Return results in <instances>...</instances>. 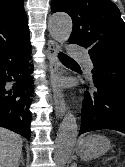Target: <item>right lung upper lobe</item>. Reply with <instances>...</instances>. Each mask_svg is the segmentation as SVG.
Masks as SVG:
<instances>
[{"label": "right lung upper lobe", "mask_w": 125, "mask_h": 167, "mask_svg": "<svg viewBox=\"0 0 125 167\" xmlns=\"http://www.w3.org/2000/svg\"><path fill=\"white\" fill-rule=\"evenodd\" d=\"M29 40L23 0H0V50Z\"/></svg>", "instance_id": "right-lung-upper-lobe-1"}]
</instances>
